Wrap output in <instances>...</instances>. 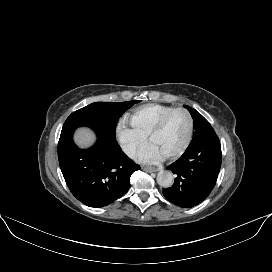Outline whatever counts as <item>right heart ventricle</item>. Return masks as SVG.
<instances>
[{"mask_svg":"<svg viewBox=\"0 0 272 272\" xmlns=\"http://www.w3.org/2000/svg\"><path fill=\"white\" fill-rule=\"evenodd\" d=\"M173 107L163 104H147L132 110L127 118L137 131L148 135L157 120Z\"/></svg>","mask_w":272,"mask_h":272,"instance_id":"e07e8e85","label":"right heart ventricle"}]
</instances>
